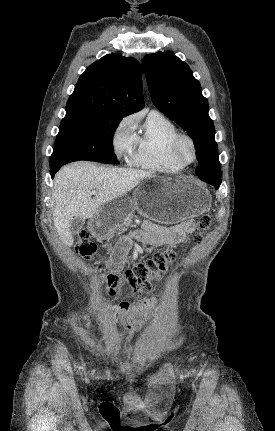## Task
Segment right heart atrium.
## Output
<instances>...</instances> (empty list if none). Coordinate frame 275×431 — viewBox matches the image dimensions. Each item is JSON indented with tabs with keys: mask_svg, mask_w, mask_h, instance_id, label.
<instances>
[{
	"mask_svg": "<svg viewBox=\"0 0 275 431\" xmlns=\"http://www.w3.org/2000/svg\"><path fill=\"white\" fill-rule=\"evenodd\" d=\"M134 120L132 117L123 118L117 125L113 137V148L115 153L121 157L133 158L136 146V135L134 133Z\"/></svg>",
	"mask_w": 275,
	"mask_h": 431,
	"instance_id": "d8ad5b80",
	"label": "right heart atrium"
}]
</instances>
